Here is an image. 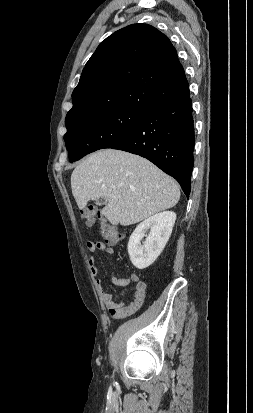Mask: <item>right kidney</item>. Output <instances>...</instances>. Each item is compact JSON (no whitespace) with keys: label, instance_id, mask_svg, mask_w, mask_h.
<instances>
[{"label":"right kidney","instance_id":"right-kidney-1","mask_svg":"<svg viewBox=\"0 0 253 413\" xmlns=\"http://www.w3.org/2000/svg\"><path fill=\"white\" fill-rule=\"evenodd\" d=\"M176 220V214L172 211H164L155 214L140 223L128 242V253L132 264L138 269L149 267L164 249ZM150 230L148 236L145 232ZM146 236L144 245L141 240Z\"/></svg>","mask_w":253,"mask_h":413}]
</instances>
